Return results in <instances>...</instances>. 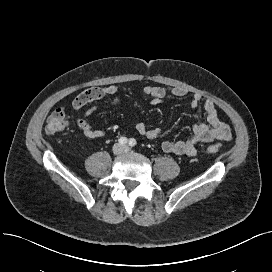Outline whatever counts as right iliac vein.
<instances>
[{
  "label": "right iliac vein",
  "instance_id": "obj_1",
  "mask_svg": "<svg viewBox=\"0 0 272 272\" xmlns=\"http://www.w3.org/2000/svg\"><path fill=\"white\" fill-rule=\"evenodd\" d=\"M113 152L115 154H120L122 152V147L120 145H115L114 148H113Z\"/></svg>",
  "mask_w": 272,
  "mask_h": 272
}]
</instances>
